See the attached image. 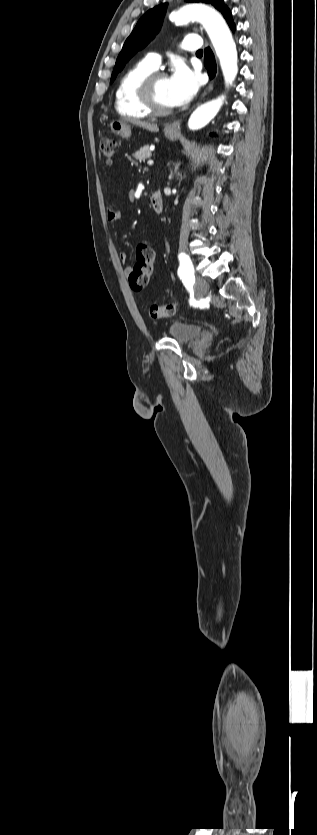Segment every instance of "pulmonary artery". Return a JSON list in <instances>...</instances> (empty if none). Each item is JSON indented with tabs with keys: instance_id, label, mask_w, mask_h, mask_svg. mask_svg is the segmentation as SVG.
Returning <instances> with one entry per match:
<instances>
[{
	"instance_id": "pulmonary-artery-1",
	"label": "pulmonary artery",
	"mask_w": 317,
	"mask_h": 835,
	"mask_svg": "<svg viewBox=\"0 0 317 835\" xmlns=\"http://www.w3.org/2000/svg\"><path fill=\"white\" fill-rule=\"evenodd\" d=\"M201 46V39L198 35H187L181 43V48L183 50L191 52L200 50ZM145 61L151 67L157 69L161 63V56L158 53L151 52L146 56Z\"/></svg>"
}]
</instances>
